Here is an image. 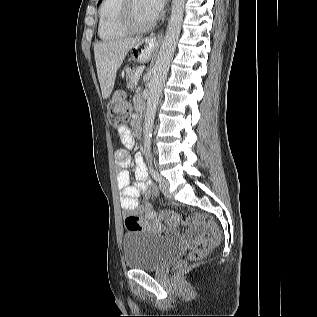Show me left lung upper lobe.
Masks as SVG:
<instances>
[{
	"instance_id": "5c2ea615",
	"label": "left lung upper lobe",
	"mask_w": 317,
	"mask_h": 317,
	"mask_svg": "<svg viewBox=\"0 0 317 317\" xmlns=\"http://www.w3.org/2000/svg\"><path fill=\"white\" fill-rule=\"evenodd\" d=\"M102 2V0H99L98 5Z\"/></svg>"
}]
</instances>
